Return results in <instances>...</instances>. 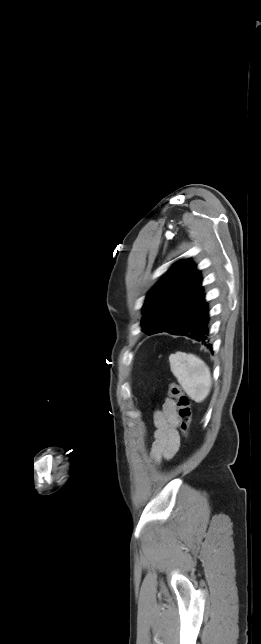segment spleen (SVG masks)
Instances as JSON below:
<instances>
[{
	"label": "spleen",
	"mask_w": 261,
	"mask_h": 644,
	"mask_svg": "<svg viewBox=\"0 0 261 644\" xmlns=\"http://www.w3.org/2000/svg\"><path fill=\"white\" fill-rule=\"evenodd\" d=\"M170 370L185 393L201 403L209 395L212 385L209 367L194 354L176 352L169 356Z\"/></svg>",
	"instance_id": "1"
}]
</instances>
